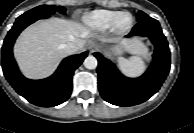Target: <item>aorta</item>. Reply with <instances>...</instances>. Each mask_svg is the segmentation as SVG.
I'll use <instances>...</instances> for the list:
<instances>
[{"instance_id": "762f6f07", "label": "aorta", "mask_w": 194, "mask_h": 133, "mask_svg": "<svg viewBox=\"0 0 194 133\" xmlns=\"http://www.w3.org/2000/svg\"><path fill=\"white\" fill-rule=\"evenodd\" d=\"M97 65H98V61L94 56H88L84 60V66L87 69H90V70L95 69Z\"/></svg>"}]
</instances>
